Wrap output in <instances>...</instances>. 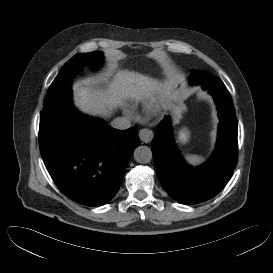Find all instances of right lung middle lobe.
<instances>
[{
    "label": "right lung middle lobe",
    "mask_w": 273,
    "mask_h": 273,
    "mask_svg": "<svg viewBox=\"0 0 273 273\" xmlns=\"http://www.w3.org/2000/svg\"><path fill=\"white\" fill-rule=\"evenodd\" d=\"M103 62L102 52L81 53L72 57L62 67L59 75L55 78L49 87L44 99V104H47L53 97L68 89V82L81 72L83 65H98Z\"/></svg>",
    "instance_id": "1"
}]
</instances>
